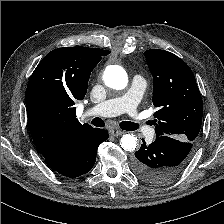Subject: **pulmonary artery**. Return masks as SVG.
Listing matches in <instances>:
<instances>
[{"label": "pulmonary artery", "mask_w": 224, "mask_h": 224, "mask_svg": "<svg viewBox=\"0 0 224 224\" xmlns=\"http://www.w3.org/2000/svg\"><path fill=\"white\" fill-rule=\"evenodd\" d=\"M146 85V79L142 75L136 74L133 76L125 94L99 103L88 109L86 115L112 117L126 113L130 116L131 122L136 125L137 130L149 133L153 129L146 125L137 110V105L142 98Z\"/></svg>", "instance_id": "obj_1"}]
</instances>
